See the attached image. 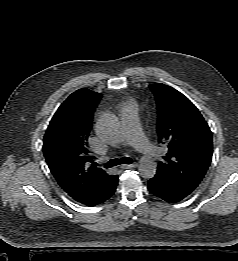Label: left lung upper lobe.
Here are the masks:
<instances>
[{
    "instance_id": "obj_1",
    "label": "left lung upper lobe",
    "mask_w": 238,
    "mask_h": 261,
    "mask_svg": "<svg viewBox=\"0 0 238 261\" xmlns=\"http://www.w3.org/2000/svg\"><path fill=\"white\" fill-rule=\"evenodd\" d=\"M149 87L157 105L159 142L168 147L157 173L192 192L212 160L210 128L196 106L182 93L161 83Z\"/></svg>"
}]
</instances>
